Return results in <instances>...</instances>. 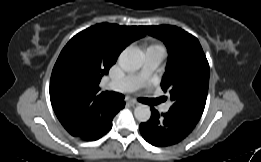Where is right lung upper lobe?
Listing matches in <instances>:
<instances>
[{"label":"right lung upper lobe","mask_w":261,"mask_h":162,"mask_svg":"<svg viewBox=\"0 0 261 162\" xmlns=\"http://www.w3.org/2000/svg\"><path fill=\"white\" fill-rule=\"evenodd\" d=\"M144 35L141 26L101 23L78 33L63 48L49 91L54 112L71 135L85 133L110 114L116 102L98 94L100 80L122 50Z\"/></svg>","instance_id":"obj_1"}]
</instances>
